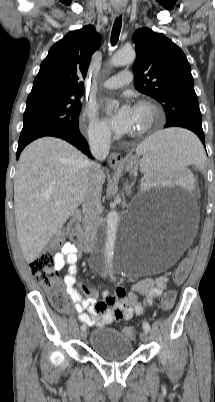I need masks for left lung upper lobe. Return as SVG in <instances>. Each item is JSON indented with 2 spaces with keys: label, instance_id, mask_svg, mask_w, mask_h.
<instances>
[{
  "label": "left lung upper lobe",
  "instance_id": "obj_1",
  "mask_svg": "<svg viewBox=\"0 0 215 402\" xmlns=\"http://www.w3.org/2000/svg\"><path fill=\"white\" fill-rule=\"evenodd\" d=\"M136 89L160 102L166 123L184 122L202 128V118L189 62L183 51L161 33L134 32Z\"/></svg>",
  "mask_w": 215,
  "mask_h": 402
}]
</instances>
